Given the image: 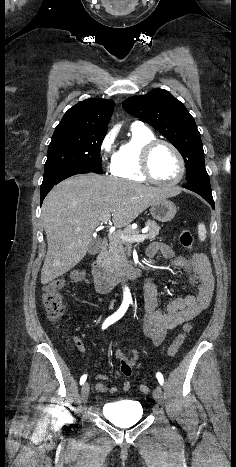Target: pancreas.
Instances as JSON below:
<instances>
[{
  "label": "pancreas",
  "mask_w": 236,
  "mask_h": 467,
  "mask_svg": "<svg viewBox=\"0 0 236 467\" xmlns=\"http://www.w3.org/2000/svg\"><path fill=\"white\" fill-rule=\"evenodd\" d=\"M146 225L149 227V230L146 234V239L153 240L159 234L160 227L155 221L151 220H148ZM137 233L138 230L127 227L123 231L112 234L109 237V247L108 250L104 252V266L112 275L117 274L121 268L126 267L128 264L126 250L131 244L130 242L121 240L119 235L126 234L132 236Z\"/></svg>",
  "instance_id": "obj_1"
}]
</instances>
